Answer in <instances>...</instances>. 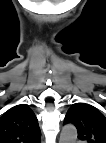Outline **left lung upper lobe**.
<instances>
[{"mask_svg":"<svg viewBox=\"0 0 106 143\" xmlns=\"http://www.w3.org/2000/svg\"><path fill=\"white\" fill-rule=\"evenodd\" d=\"M64 123H71L77 128L80 140L87 143H106V116L89 104H73Z\"/></svg>","mask_w":106,"mask_h":143,"instance_id":"obj_1","label":"left lung upper lobe"}]
</instances>
